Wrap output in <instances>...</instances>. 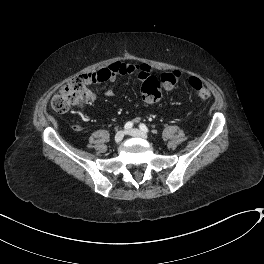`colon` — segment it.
<instances>
[{"instance_id": "obj_1", "label": "colon", "mask_w": 264, "mask_h": 264, "mask_svg": "<svg viewBox=\"0 0 264 264\" xmlns=\"http://www.w3.org/2000/svg\"><path fill=\"white\" fill-rule=\"evenodd\" d=\"M126 72V69L122 67L120 73L125 74ZM179 80L180 73L177 70L163 72L159 77L147 78L142 84V94L148 100L158 99L161 96L162 87L173 88ZM188 82L200 99H209V90L201 81L192 77ZM95 97V92L88 86L84 78L76 77L64 83L53 95L51 106L57 112H67L74 107L87 106Z\"/></svg>"}]
</instances>
